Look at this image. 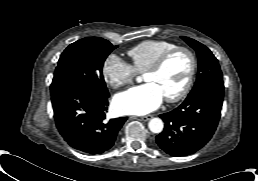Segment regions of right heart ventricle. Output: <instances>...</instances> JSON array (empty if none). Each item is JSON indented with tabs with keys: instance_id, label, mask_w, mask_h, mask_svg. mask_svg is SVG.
Returning a JSON list of instances; mask_svg holds the SVG:
<instances>
[{
	"instance_id": "1",
	"label": "right heart ventricle",
	"mask_w": 258,
	"mask_h": 181,
	"mask_svg": "<svg viewBox=\"0 0 258 181\" xmlns=\"http://www.w3.org/2000/svg\"><path fill=\"white\" fill-rule=\"evenodd\" d=\"M177 45L164 40H146L127 52L131 59V65L138 73H144L164 52Z\"/></svg>"
}]
</instances>
